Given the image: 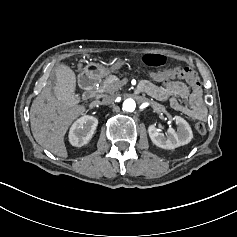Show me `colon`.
Returning <instances> with one entry per match:
<instances>
[{"label": "colon", "instance_id": "1", "mask_svg": "<svg viewBox=\"0 0 237 237\" xmlns=\"http://www.w3.org/2000/svg\"><path fill=\"white\" fill-rule=\"evenodd\" d=\"M142 62L150 67H162L166 64V58L159 54H146L142 57ZM194 73L191 69L186 67H178L173 71L170 78H183L186 80L192 79ZM195 129L199 134H205L207 131L206 125L203 122H197Z\"/></svg>", "mask_w": 237, "mask_h": 237}]
</instances>
